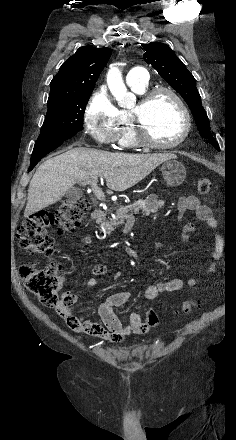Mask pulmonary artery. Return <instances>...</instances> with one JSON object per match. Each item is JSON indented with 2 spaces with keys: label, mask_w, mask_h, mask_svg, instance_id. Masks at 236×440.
Returning <instances> with one entry per match:
<instances>
[{
  "label": "pulmonary artery",
  "mask_w": 236,
  "mask_h": 440,
  "mask_svg": "<svg viewBox=\"0 0 236 440\" xmlns=\"http://www.w3.org/2000/svg\"><path fill=\"white\" fill-rule=\"evenodd\" d=\"M149 80L148 71L141 66L133 67L127 74V82L129 85L144 84Z\"/></svg>",
  "instance_id": "obj_1"
}]
</instances>
